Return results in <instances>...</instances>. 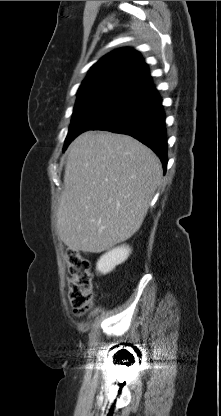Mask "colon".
Listing matches in <instances>:
<instances>
[{
	"instance_id": "colon-1",
	"label": "colon",
	"mask_w": 221,
	"mask_h": 416,
	"mask_svg": "<svg viewBox=\"0 0 221 416\" xmlns=\"http://www.w3.org/2000/svg\"><path fill=\"white\" fill-rule=\"evenodd\" d=\"M65 259L69 271V300L74 312L83 315L90 309L94 298L91 263L72 248L66 250Z\"/></svg>"
}]
</instances>
